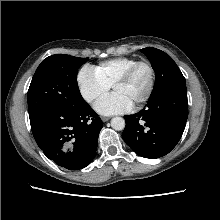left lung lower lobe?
Wrapping results in <instances>:
<instances>
[{
  "label": "left lung lower lobe",
  "mask_w": 220,
  "mask_h": 220,
  "mask_svg": "<svg viewBox=\"0 0 220 220\" xmlns=\"http://www.w3.org/2000/svg\"><path fill=\"white\" fill-rule=\"evenodd\" d=\"M188 117L186 85L151 97L140 112L124 116L122 138L139 156L159 158L179 142Z\"/></svg>",
  "instance_id": "1"
}]
</instances>
